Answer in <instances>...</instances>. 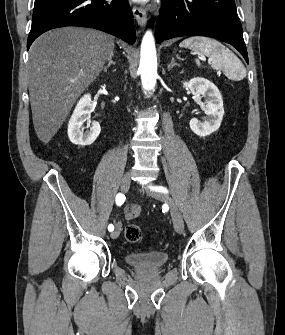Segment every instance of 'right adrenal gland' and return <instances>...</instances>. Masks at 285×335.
I'll return each instance as SVG.
<instances>
[{
	"label": "right adrenal gland",
	"mask_w": 285,
	"mask_h": 335,
	"mask_svg": "<svg viewBox=\"0 0 285 335\" xmlns=\"http://www.w3.org/2000/svg\"><path fill=\"white\" fill-rule=\"evenodd\" d=\"M113 56H114V54L112 52V54H110V58L108 60L107 66H105V68H103L104 72H107L108 68H110V66H112V64H115V62H113V60H112Z\"/></svg>",
	"instance_id": "1"
}]
</instances>
